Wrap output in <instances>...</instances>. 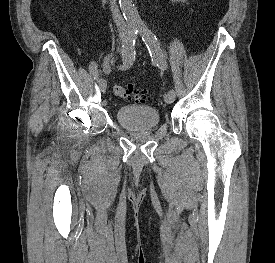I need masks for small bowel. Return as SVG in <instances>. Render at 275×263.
I'll return each instance as SVG.
<instances>
[{
	"instance_id": "c3829d8e",
	"label": "small bowel",
	"mask_w": 275,
	"mask_h": 263,
	"mask_svg": "<svg viewBox=\"0 0 275 263\" xmlns=\"http://www.w3.org/2000/svg\"><path fill=\"white\" fill-rule=\"evenodd\" d=\"M113 59V55H108L105 57L103 65H102V71L104 73H110L112 70L111 61Z\"/></svg>"
}]
</instances>
